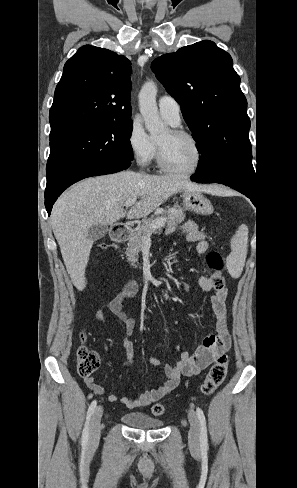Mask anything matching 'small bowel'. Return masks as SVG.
<instances>
[{
	"label": "small bowel",
	"mask_w": 297,
	"mask_h": 488,
	"mask_svg": "<svg viewBox=\"0 0 297 488\" xmlns=\"http://www.w3.org/2000/svg\"><path fill=\"white\" fill-rule=\"evenodd\" d=\"M178 230L185 234L188 242L196 243V251L199 254L207 252L209 244L206 241V235L199 229L195 222L187 221L179 228L170 226L166 229V234L171 235ZM198 286L203 292H212L209 300L216 320L215 333L206 336L202 345L194 352H183L176 363L164 364L165 381L157 389L139 391L134 398L128 396L119 397L118 395L112 394L108 397L109 402L118 401L127 407L148 406L170 395L177 388L182 377H192L200 374L227 350L231 342L226 320L227 291L224 288H214L211 279L206 276L199 278ZM137 290V281L131 279L108 304V310L116 315L124 325V336L122 339L126 354L123 363L124 367L129 366L134 361V345L129 339V336L136 326L134 316L124 310V305L129 299L135 296ZM107 318L108 316L105 311L100 310L96 313V319L99 321H106ZM149 363L153 366H158L162 364V361L159 358L151 357L149 358ZM84 382L94 394L101 395L105 393V387L96 383L94 377H85Z\"/></svg>",
	"instance_id": "c3829d8e"
}]
</instances>
